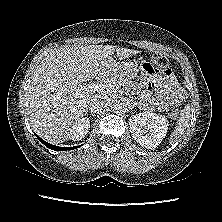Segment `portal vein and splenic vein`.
<instances>
[{
	"mask_svg": "<svg viewBox=\"0 0 222 222\" xmlns=\"http://www.w3.org/2000/svg\"><path fill=\"white\" fill-rule=\"evenodd\" d=\"M94 91H104L107 94L114 93L119 89L118 84L103 83V84H93L90 86Z\"/></svg>",
	"mask_w": 222,
	"mask_h": 222,
	"instance_id": "1",
	"label": "portal vein and splenic vein"
}]
</instances>
